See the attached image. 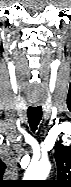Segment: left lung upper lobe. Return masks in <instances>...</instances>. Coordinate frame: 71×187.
<instances>
[{"instance_id":"5c2ea615","label":"left lung upper lobe","mask_w":71,"mask_h":187,"mask_svg":"<svg viewBox=\"0 0 71 187\" xmlns=\"http://www.w3.org/2000/svg\"><path fill=\"white\" fill-rule=\"evenodd\" d=\"M55 160L59 180L53 181L56 186H71V146H65L60 141L55 145Z\"/></svg>"}]
</instances>
